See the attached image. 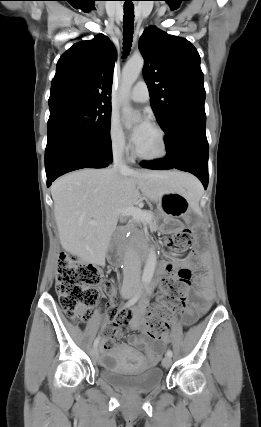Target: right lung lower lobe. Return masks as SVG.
<instances>
[{
  "label": "right lung lower lobe",
  "instance_id": "obj_1",
  "mask_svg": "<svg viewBox=\"0 0 261 427\" xmlns=\"http://www.w3.org/2000/svg\"><path fill=\"white\" fill-rule=\"evenodd\" d=\"M112 159L111 140H87L57 136L48 140L45 150L47 185L59 176L82 168H104Z\"/></svg>",
  "mask_w": 261,
  "mask_h": 427
}]
</instances>
